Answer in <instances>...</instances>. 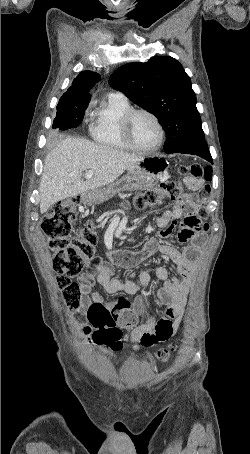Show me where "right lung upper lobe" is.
Segmentation results:
<instances>
[{
    "label": "right lung upper lobe",
    "mask_w": 250,
    "mask_h": 454,
    "mask_svg": "<svg viewBox=\"0 0 250 454\" xmlns=\"http://www.w3.org/2000/svg\"><path fill=\"white\" fill-rule=\"evenodd\" d=\"M101 79L96 72L82 71L73 81L72 86L60 98L59 103L89 102V90Z\"/></svg>",
    "instance_id": "1"
}]
</instances>
